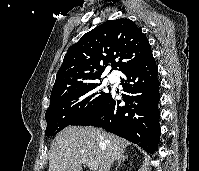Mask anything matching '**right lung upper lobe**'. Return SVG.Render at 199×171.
I'll return each instance as SVG.
<instances>
[{
	"instance_id": "right-lung-upper-lobe-1",
	"label": "right lung upper lobe",
	"mask_w": 199,
	"mask_h": 171,
	"mask_svg": "<svg viewBox=\"0 0 199 171\" xmlns=\"http://www.w3.org/2000/svg\"><path fill=\"white\" fill-rule=\"evenodd\" d=\"M152 55L145 34L130 19L107 21L72 45L57 72L50 104L100 79L105 68L123 71Z\"/></svg>"
}]
</instances>
